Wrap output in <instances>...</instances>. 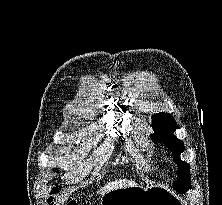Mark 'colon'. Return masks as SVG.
<instances>
[{
	"mask_svg": "<svg viewBox=\"0 0 222 205\" xmlns=\"http://www.w3.org/2000/svg\"><path fill=\"white\" fill-rule=\"evenodd\" d=\"M63 205H77V204L74 203V202H66V203H64Z\"/></svg>",
	"mask_w": 222,
	"mask_h": 205,
	"instance_id": "obj_1",
	"label": "colon"
}]
</instances>
